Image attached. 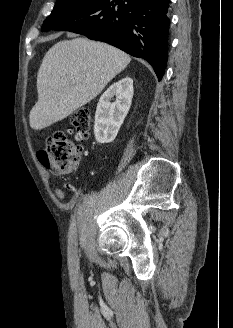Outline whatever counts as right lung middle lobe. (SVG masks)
<instances>
[{"label":"right lung middle lobe","instance_id":"right-lung-middle-lobe-1","mask_svg":"<svg viewBox=\"0 0 233 328\" xmlns=\"http://www.w3.org/2000/svg\"><path fill=\"white\" fill-rule=\"evenodd\" d=\"M95 1L96 0H57L52 13L43 23L42 31H47L57 20L71 15Z\"/></svg>","mask_w":233,"mask_h":328}]
</instances>
